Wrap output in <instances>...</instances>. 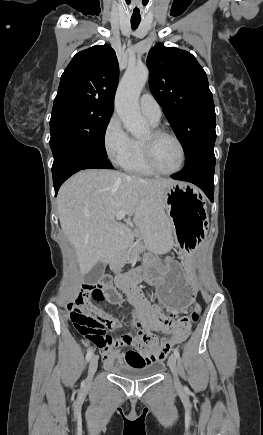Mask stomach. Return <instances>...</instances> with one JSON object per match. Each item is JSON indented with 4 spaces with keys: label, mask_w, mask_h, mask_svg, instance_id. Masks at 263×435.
Returning <instances> with one entry per match:
<instances>
[{
    "label": "stomach",
    "mask_w": 263,
    "mask_h": 435,
    "mask_svg": "<svg viewBox=\"0 0 263 435\" xmlns=\"http://www.w3.org/2000/svg\"><path fill=\"white\" fill-rule=\"evenodd\" d=\"M164 205L175 233L178 254L183 260L163 258L162 264L148 260V269L142 275L143 282L155 288V297L165 310H189L193 304L194 287L190 262L194 261L196 247L201 246L205 233L209 232L210 216H206V204L200 191L186 182H178L165 189ZM192 280V281H191ZM191 281V285H187Z\"/></svg>",
    "instance_id": "obj_1"
}]
</instances>
